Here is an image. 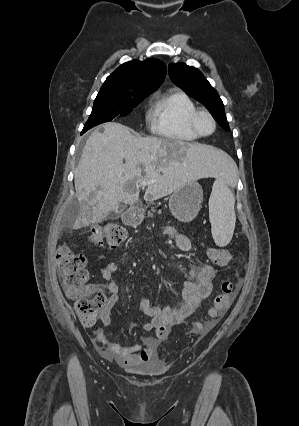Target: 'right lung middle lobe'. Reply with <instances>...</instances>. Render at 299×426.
<instances>
[{
	"label": "right lung middle lobe",
	"mask_w": 299,
	"mask_h": 426,
	"mask_svg": "<svg viewBox=\"0 0 299 426\" xmlns=\"http://www.w3.org/2000/svg\"><path fill=\"white\" fill-rule=\"evenodd\" d=\"M153 91L142 92L135 96H124L109 90L100 89L93 105L91 115L84 125L82 133L116 116L129 114L145 97Z\"/></svg>",
	"instance_id": "obj_1"
}]
</instances>
